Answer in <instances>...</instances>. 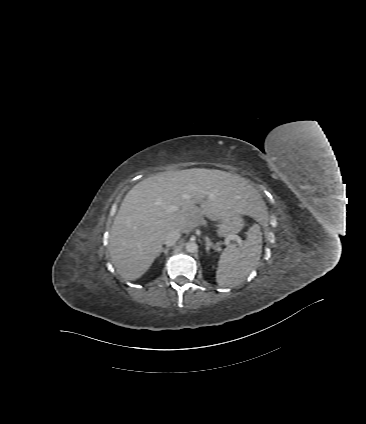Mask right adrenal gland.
Instances as JSON below:
<instances>
[{"instance_id": "right-adrenal-gland-1", "label": "right adrenal gland", "mask_w": 366, "mask_h": 424, "mask_svg": "<svg viewBox=\"0 0 366 424\" xmlns=\"http://www.w3.org/2000/svg\"><path fill=\"white\" fill-rule=\"evenodd\" d=\"M169 250H170V248L169 247H167V248H162L161 250H160V252L158 253V256H160V254L163 252L165 255H167L168 254V252H169Z\"/></svg>"}]
</instances>
